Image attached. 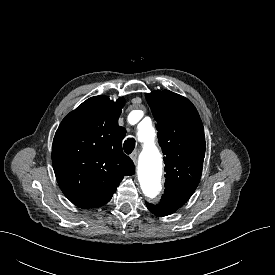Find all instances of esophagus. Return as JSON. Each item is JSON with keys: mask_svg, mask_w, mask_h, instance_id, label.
I'll return each mask as SVG.
<instances>
[{"mask_svg": "<svg viewBox=\"0 0 275 275\" xmlns=\"http://www.w3.org/2000/svg\"><path fill=\"white\" fill-rule=\"evenodd\" d=\"M138 157V152L134 151L131 153L130 158L133 160L134 163H136Z\"/></svg>", "mask_w": 275, "mask_h": 275, "instance_id": "34e87169", "label": "esophagus"}]
</instances>
